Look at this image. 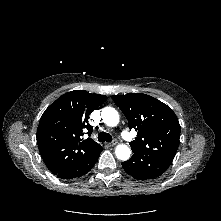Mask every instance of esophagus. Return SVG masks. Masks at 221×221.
<instances>
[{"mask_svg": "<svg viewBox=\"0 0 221 221\" xmlns=\"http://www.w3.org/2000/svg\"><path fill=\"white\" fill-rule=\"evenodd\" d=\"M117 144V142H110V143H107V146L108 147H113Z\"/></svg>", "mask_w": 221, "mask_h": 221, "instance_id": "obj_1", "label": "esophagus"}]
</instances>
